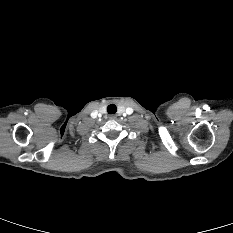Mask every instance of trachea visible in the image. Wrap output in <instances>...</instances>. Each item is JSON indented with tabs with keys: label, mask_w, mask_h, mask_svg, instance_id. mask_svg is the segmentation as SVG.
<instances>
[{
	"label": "trachea",
	"mask_w": 233,
	"mask_h": 233,
	"mask_svg": "<svg viewBox=\"0 0 233 233\" xmlns=\"http://www.w3.org/2000/svg\"><path fill=\"white\" fill-rule=\"evenodd\" d=\"M116 111H117V108L114 104H111L107 107V112L109 114H114V113H116Z\"/></svg>",
	"instance_id": "obj_1"
}]
</instances>
